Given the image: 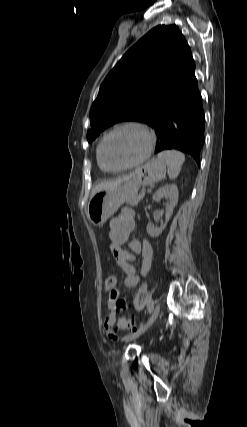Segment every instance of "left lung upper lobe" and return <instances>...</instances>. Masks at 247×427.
<instances>
[{
  "mask_svg": "<svg viewBox=\"0 0 247 427\" xmlns=\"http://www.w3.org/2000/svg\"><path fill=\"white\" fill-rule=\"evenodd\" d=\"M191 49L176 25L150 30L109 72L90 110L88 142L126 120L153 125L166 99L194 76Z\"/></svg>",
  "mask_w": 247,
  "mask_h": 427,
  "instance_id": "5c2ea615",
  "label": "left lung upper lobe"
}]
</instances>
